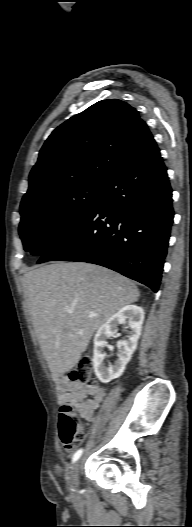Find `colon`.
I'll use <instances>...</instances> for the list:
<instances>
[{"label":"colon","instance_id":"5ec220e1","mask_svg":"<svg viewBox=\"0 0 192 527\" xmlns=\"http://www.w3.org/2000/svg\"><path fill=\"white\" fill-rule=\"evenodd\" d=\"M92 370V360L84 357L69 373V379L85 387L93 386ZM85 435L86 427L80 423L74 406L69 402H64L59 411V437L62 444L65 448L71 449L77 442L83 440Z\"/></svg>","mask_w":192,"mask_h":527}]
</instances>
